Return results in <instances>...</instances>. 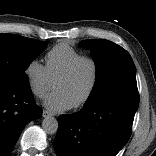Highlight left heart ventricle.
<instances>
[{
	"instance_id": "b2bd125f",
	"label": "left heart ventricle",
	"mask_w": 156,
	"mask_h": 156,
	"mask_svg": "<svg viewBox=\"0 0 156 156\" xmlns=\"http://www.w3.org/2000/svg\"><path fill=\"white\" fill-rule=\"evenodd\" d=\"M92 79V65L88 62H84L69 79L57 82L54 85V89L64 94L73 105L87 93Z\"/></svg>"
}]
</instances>
